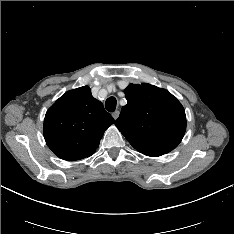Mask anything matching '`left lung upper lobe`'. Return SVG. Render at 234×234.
<instances>
[{
	"mask_svg": "<svg viewBox=\"0 0 234 234\" xmlns=\"http://www.w3.org/2000/svg\"><path fill=\"white\" fill-rule=\"evenodd\" d=\"M127 105L115 125L145 155H163L178 146L186 130L185 110L169 91L154 85L130 84Z\"/></svg>",
	"mask_w": 234,
	"mask_h": 234,
	"instance_id": "1",
	"label": "left lung upper lobe"
}]
</instances>
